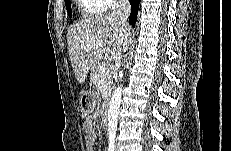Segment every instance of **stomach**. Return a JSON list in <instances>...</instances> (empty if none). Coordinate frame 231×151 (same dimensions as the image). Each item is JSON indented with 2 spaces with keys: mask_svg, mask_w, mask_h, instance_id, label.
<instances>
[{
  "mask_svg": "<svg viewBox=\"0 0 231 151\" xmlns=\"http://www.w3.org/2000/svg\"><path fill=\"white\" fill-rule=\"evenodd\" d=\"M97 93L93 89L85 90L80 96V108L83 113H90L96 106Z\"/></svg>",
  "mask_w": 231,
  "mask_h": 151,
  "instance_id": "0dacf381",
  "label": "stomach"
}]
</instances>
